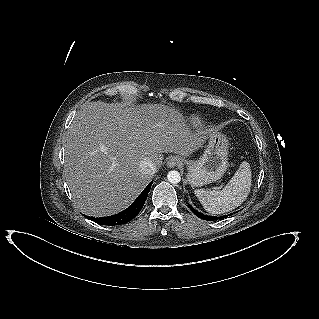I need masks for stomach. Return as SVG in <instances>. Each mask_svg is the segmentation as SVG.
<instances>
[{"label":"stomach","instance_id":"1","mask_svg":"<svg viewBox=\"0 0 319 319\" xmlns=\"http://www.w3.org/2000/svg\"><path fill=\"white\" fill-rule=\"evenodd\" d=\"M228 167V140L218 131L208 134V144L197 161L187 162V180L194 187L217 181Z\"/></svg>","mask_w":319,"mask_h":319}]
</instances>
